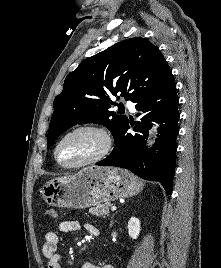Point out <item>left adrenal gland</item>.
I'll list each match as a JSON object with an SVG mask.
<instances>
[{
  "label": "left adrenal gland",
  "mask_w": 221,
  "mask_h": 268,
  "mask_svg": "<svg viewBox=\"0 0 221 268\" xmlns=\"http://www.w3.org/2000/svg\"><path fill=\"white\" fill-rule=\"evenodd\" d=\"M113 219H114V215H112V217H111V221H110V227H112V226H113Z\"/></svg>",
  "instance_id": "a2214340"
}]
</instances>
